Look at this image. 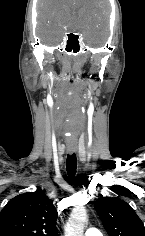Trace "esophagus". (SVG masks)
<instances>
[{
  "label": "esophagus",
  "mask_w": 145,
  "mask_h": 236,
  "mask_svg": "<svg viewBox=\"0 0 145 236\" xmlns=\"http://www.w3.org/2000/svg\"><path fill=\"white\" fill-rule=\"evenodd\" d=\"M76 149H77L76 144H74V143L67 144V152L69 154H73L76 151Z\"/></svg>",
  "instance_id": "1"
}]
</instances>
